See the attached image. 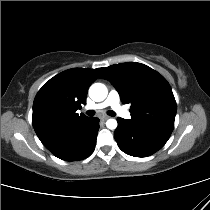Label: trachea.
<instances>
[{"mask_svg": "<svg viewBox=\"0 0 210 210\" xmlns=\"http://www.w3.org/2000/svg\"><path fill=\"white\" fill-rule=\"evenodd\" d=\"M86 114H87L88 116H94V115H95V111H94V110H88V111L86 112ZM107 114H108L109 116H115V115H116L115 112L112 111V110H109V111L107 112Z\"/></svg>", "mask_w": 210, "mask_h": 210, "instance_id": "trachea-1", "label": "trachea"}]
</instances>
